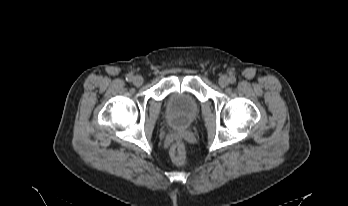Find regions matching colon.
Masks as SVG:
<instances>
[{
	"label": "colon",
	"mask_w": 348,
	"mask_h": 206,
	"mask_svg": "<svg viewBox=\"0 0 348 206\" xmlns=\"http://www.w3.org/2000/svg\"><path fill=\"white\" fill-rule=\"evenodd\" d=\"M172 160L179 165L186 163V153L183 145L180 142H176L171 148Z\"/></svg>",
	"instance_id": "colon-1"
}]
</instances>
